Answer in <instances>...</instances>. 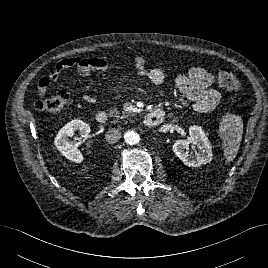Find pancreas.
Listing matches in <instances>:
<instances>
[{
  "label": "pancreas",
  "mask_w": 268,
  "mask_h": 268,
  "mask_svg": "<svg viewBox=\"0 0 268 268\" xmlns=\"http://www.w3.org/2000/svg\"><path fill=\"white\" fill-rule=\"evenodd\" d=\"M109 115L113 116V117L120 118V119L128 117V115L125 112H122V114H119V111L116 108L109 110Z\"/></svg>",
  "instance_id": "pancreas-1"
}]
</instances>
